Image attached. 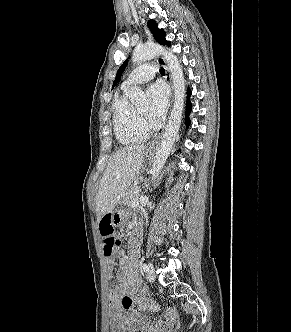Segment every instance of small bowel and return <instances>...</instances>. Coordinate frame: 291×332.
<instances>
[{
  "instance_id": "1",
  "label": "small bowel",
  "mask_w": 291,
  "mask_h": 332,
  "mask_svg": "<svg viewBox=\"0 0 291 332\" xmlns=\"http://www.w3.org/2000/svg\"><path fill=\"white\" fill-rule=\"evenodd\" d=\"M137 253L132 249L129 256L119 257L117 279L119 284L110 291V319L113 332H164L175 319V313L167 311L164 318L151 323L147 311H158L159 305L149 301L141 287L136 270ZM109 275L113 273V262H107Z\"/></svg>"
}]
</instances>
